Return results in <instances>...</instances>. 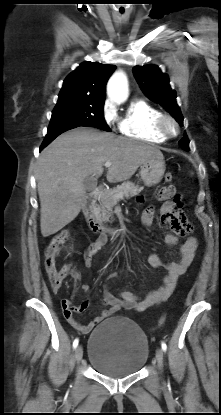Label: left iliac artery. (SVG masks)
I'll use <instances>...</instances> for the list:
<instances>
[{"mask_svg": "<svg viewBox=\"0 0 221 415\" xmlns=\"http://www.w3.org/2000/svg\"><path fill=\"white\" fill-rule=\"evenodd\" d=\"M161 347H162V350H163V351H166V350H167V345H166V343H165V342H162V343H161Z\"/></svg>", "mask_w": 221, "mask_h": 415, "instance_id": "1", "label": "left iliac artery"}]
</instances>
